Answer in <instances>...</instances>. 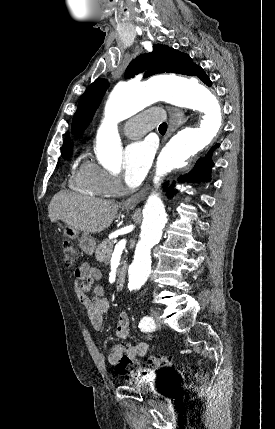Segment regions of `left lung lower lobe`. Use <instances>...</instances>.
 Here are the masks:
<instances>
[{
    "mask_svg": "<svg viewBox=\"0 0 275 429\" xmlns=\"http://www.w3.org/2000/svg\"><path fill=\"white\" fill-rule=\"evenodd\" d=\"M196 76L200 78L206 85L211 86V81L209 77L204 73L202 68L198 70ZM218 146L219 144L215 145L206 157L198 160L192 171H190L188 175L183 176L182 179L188 182L208 181L210 179L211 166L213 165L211 154L213 149L217 148ZM173 187L174 184H172L169 188L168 194L170 196H172V194L174 193Z\"/></svg>",
    "mask_w": 275,
    "mask_h": 429,
    "instance_id": "obj_1",
    "label": "left lung lower lobe"
}]
</instances>
